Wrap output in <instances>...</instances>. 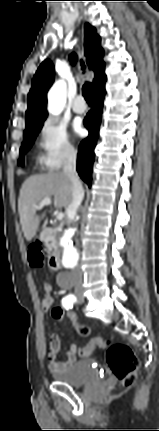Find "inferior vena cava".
Listing matches in <instances>:
<instances>
[{
    "label": "inferior vena cava",
    "mask_w": 159,
    "mask_h": 431,
    "mask_svg": "<svg viewBox=\"0 0 159 431\" xmlns=\"http://www.w3.org/2000/svg\"><path fill=\"white\" fill-rule=\"evenodd\" d=\"M77 151L74 148L68 149L63 163V172L70 179L72 183V200L66 209L68 215V223L74 222L77 210L84 198V189L80 182L79 176L76 171ZM75 280V292L82 290L83 274L79 267L73 271Z\"/></svg>",
    "instance_id": "1"
}]
</instances>
